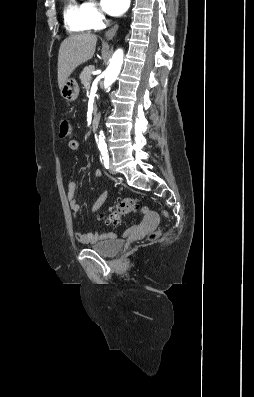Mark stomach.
Listing matches in <instances>:
<instances>
[{
  "label": "stomach",
  "instance_id": "0dacf381",
  "mask_svg": "<svg viewBox=\"0 0 254 397\" xmlns=\"http://www.w3.org/2000/svg\"><path fill=\"white\" fill-rule=\"evenodd\" d=\"M79 85L74 78H67L60 89L61 96L68 102H73L79 95Z\"/></svg>",
  "mask_w": 254,
  "mask_h": 397
}]
</instances>
